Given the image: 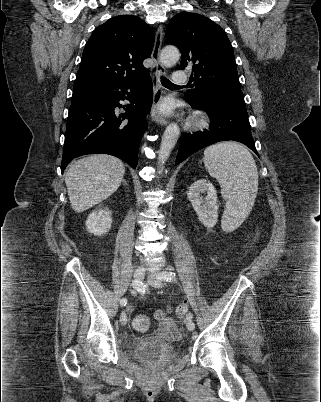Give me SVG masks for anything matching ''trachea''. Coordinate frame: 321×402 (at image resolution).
I'll use <instances>...</instances> for the list:
<instances>
[{
    "label": "trachea",
    "mask_w": 321,
    "mask_h": 402,
    "mask_svg": "<svg viewBox=\"0 0 321 402\" xmlns=\"http://www.w3.org/2000/svg\"><path fill=\"white\" fill-rule=\"evenodd\" d=\"M160 81L163 84V86H165L167 88L178 87L177 85L173 84L169 79L165 78L164 76L160 77Z\"/></svg>",
    "instance_id": "3493384b"
}]
</instances>
